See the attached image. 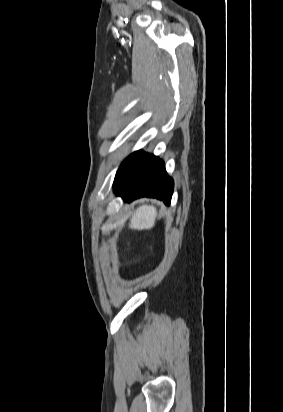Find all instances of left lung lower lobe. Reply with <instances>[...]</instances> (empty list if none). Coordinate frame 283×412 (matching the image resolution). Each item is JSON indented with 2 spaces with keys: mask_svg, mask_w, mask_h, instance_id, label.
<instances>
[{
  "mask_svg": "<svg viewBox=\"0 0 283 412\" xmlns=\"http://www.w3.org/2000/svg\"><path fill=\"white\" fill-rule=\"evenodd\" d=\"M173 180L167 175L164 162L153 154L146 153L129 179L124 183L114 180V193L126 202L140 197H153L170 205Z\"/></svg>",
  "mask_w": 283,
  "mask_h": 412,
  "instance_id": "1",
  "label": "left lung lower lobe"
}]
</instances>
